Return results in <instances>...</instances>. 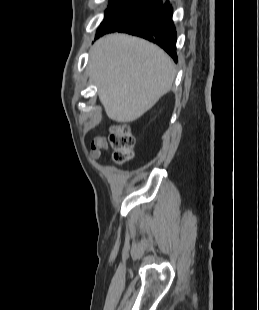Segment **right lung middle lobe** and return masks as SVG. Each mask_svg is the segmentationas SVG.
Returning a JSON list of instances; mask_svg holds the SVG:
<instances>
[{
  "instance_id": "right-lung-middle-lobe-1",
  "label": "right lung middle lobe",
  "mask_w": 259,
  "mask_h": 310,
  "mask_svg": "<svg viewBox=\"0 0 259 310\" xmlns=\"http://www.w3.org/2000/svg\"><path fill=\"white\" fill-rule=\"evenodd\" d=\"M159 3L158 0H112L105 18L97 30L96 38L125 26L134 18L146 13Z\"/></svg>"
}]
</instances>
